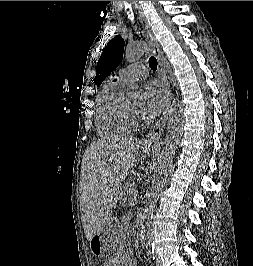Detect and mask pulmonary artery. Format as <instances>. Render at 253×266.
Wrapping results in <instances>:
<instances>
[{
  "mask_svg": "<svg viewBox=\"0 0 253 266\" xmlns=\"http://www.w3.org/2000/svg\"><path fill=\"white\" fill-rule=\"evenodd\" d=\"M147 76L148 68L143 63H134L121 69L115 78L126 85L136 80L145 79Z\"/></svg>",
  "mask_w": 253,
  "mask_h": 266,
  "instance_id": "obj_1",
  "label": "pulmonary artery"
}]
</instances>
